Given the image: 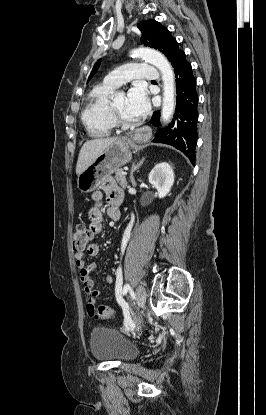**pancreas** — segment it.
Masks as SVG:
<instances>
[{"label":"pancreas","instance_id":"pancreas-1","mask_svg":"<svg viewBox=\"0 0 266 415\" xmlns=\"http://www.w3.org/2000/svg\"><path fill=\"white\" fill-rule=\"evenodd\" d=\"M123 170L122 169H117L115 171V178L117 183L122 187V188H126L128 186L127 180H126V175L122 174Z\"/></svg>","mask_w":266,"mask_h":415}]
</instances>
